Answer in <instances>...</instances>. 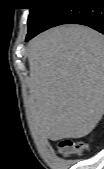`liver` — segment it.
Wrapping results in <instances>:
<instances>
[{"label":"liver","instance_id":"6515ba94","mask_svg":"<svg viewBox=\"0 0 104 169\" xmlns=\"http://www.w3.org/2000/svg\"><path fill=\"white\" fill-rule=\"evenodd\" d=\"M32 126L42 139L82 138L104 113V37L82 25H62L27 47Z\"/></svg>","mask_w":104,"mask_h":169}]
</instances>
